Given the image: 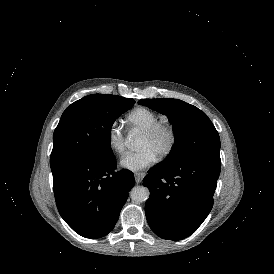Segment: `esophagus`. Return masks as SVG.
<instances>
[{
    "mask_svg": "<svg viewBox=\"0 0 274 274\" xmlns=\"http://www.w3.org/2000/svg\"><path fill=\"white\" fill-rule=\"evenodd\" d=\"M135 181L137 184L141 183V181L143 180V178L145 177V173H135Z\"/></svg>",
    "mask_w": 274,
    "mask_h": 274,
    "instance_id": "obj_1",
    "label": "esophagus"
}]
</instances>
